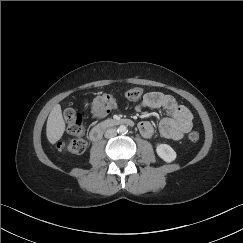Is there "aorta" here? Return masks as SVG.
I'll use <instances>...</instances> for the list:
<instances>
[{"label": "aorta", "instance_id": "aorta-1", "mask_svg": "<svg viewBox=\"0 0 243 243\" xmlns=\"http://www.w3.org/2000/svg\"><path fill=\"white\" fill-rule=\"evenodd\" d=\"M117 132L120 134H125L127 133V127L125 125H120L117 129Z\"/></svg>", "mask_w": 243, "mask_h": 243}]
</instances>
